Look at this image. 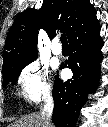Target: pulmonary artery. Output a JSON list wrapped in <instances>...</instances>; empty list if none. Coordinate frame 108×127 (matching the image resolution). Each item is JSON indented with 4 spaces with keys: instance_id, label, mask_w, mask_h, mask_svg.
<instances>
[{
    "instance_id": "pulmonary-artery-1",
    "label": "pulmonary artery",
    "mask_w": 108,
    "mask_h": 127,
    "mask_svg": "<svg viewBox=\"0 0 108 127\" xmlns=\"http://www.w3.org/2000/svg\"><path fill=\"white\" fill-rule=\"evenodd\" d=\"M52 53L54 55H61L62 54V47L59 44L58 40H55L51 47Z\"/></svg>"
}]
</instances>
